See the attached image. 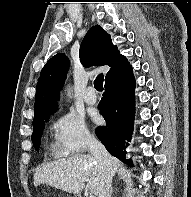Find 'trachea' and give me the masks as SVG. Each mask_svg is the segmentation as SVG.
<instances>
[{
  "label": "trachea",
  "mask_w": 191,
  "mask_h": 197,
  "mask_svg": "<svg viewBox=\"0 0 191 197\" xmlns=\"http://www.w3.org/2000/svg\"><path fill=\"white\" fill-rule=\"evenodd\" d=\"M103 81H104V76L103 74H99L95 81H94V87L97 91H103Z\"/></svg>",
  "instance_id": "3493384b"
}]
</instances>
